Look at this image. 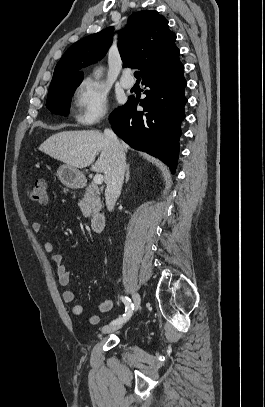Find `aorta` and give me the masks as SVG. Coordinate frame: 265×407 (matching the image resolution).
Here are the masks:
<instances>
[{
	"label": "aorta",
	"mask_w": 265,
	"mask_h": 407,
	"mask_svg": "<svg viewBox=\"0 0 265 407\" xmlns=\"http://www.w3.org/2000/svg\"><path fill=\"white\" fill-rule=\"evenodd\" d=\"M95 75H96V78H98L100 76V70H97Z\"/></svg>",
	"instance_id": "1"
}]
</instances>
